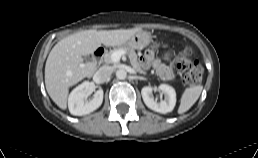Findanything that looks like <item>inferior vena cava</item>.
<instances>
[{"label":"inferior vena cava","instance_id":"602c4592","mask_svg":"<svg viewBox=\"0 0 258 158\" xmlns=\"http://www.w3.org/2000/svg\"><path fill=\"white\" fill-rule=\"evenodd\" d=\"M113 73V69L109 66L100 67L97 72L94 74V81L97 83H104L110 79Z\"/></svg>","mask_w":258,"mask_h":158}]
</instances>
